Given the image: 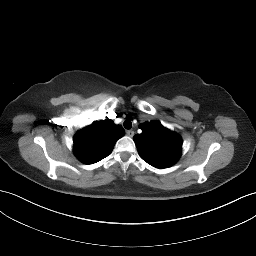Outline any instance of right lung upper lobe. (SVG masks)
Wrapping results in <instances>:
<instances>
[{"label": "right lung upper lobe", "instance_id": "obj_1", "mask_svg": "<svg viewBox=\"0 0 256 256\" xmlns=\"http://www.w3.org/2000/svg\"><path fill=\"white\" fill-rule=\"evenodd\" d=\"M124 129L112 120L95 121L74 136V154L85 164L96 163L107 157Z\"/></svg>", "mask_w": 256, "mask_h": 256}]
</instances>
